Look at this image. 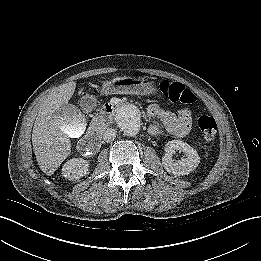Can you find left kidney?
I'll use <instances>...</instances> for the list:
<instances>
[{
    "label": "left kidney",
    "instance_id": "left-kidney-1",
    "mask_svg": "<svg viewBox=\"0 0 261 261\" xmlns=\"http://www.w3.org/2000/svg\"><path fill=\"white\" fill-rule=\"evenodd\" d=\"M182 151L186 158L175 161L172 156L175 151ZM165 155L162 157V165L164 169L175 176H183L192 172L200 163V157L195 149L189 144L180 141H168L165 145Z\"/></svg>",
    "mask_w": 261,
    "mask_h": 261
}]
</instances>
